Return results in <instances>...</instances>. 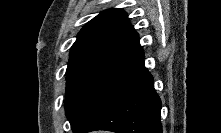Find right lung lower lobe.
Returning a JSON list of instances; mask_svg holds the SVG:
<instances>
[{
    "label": "right lung lower lobe",
    "mask_w": 221,
    "mask_h": 133,
    "mask_svg": "<svg viewBox=\"0 0 221 133\" xmlns=\"http://www.w3.org/2000/svg\"><path fill=\"white\" fill-rule=\"evenodd\" d=\"M160 114L161 100L142 53L97 77L71 128L73 133H162Z\"/></svg>",
    "instance_id": "obj_1"
}]
</instances>
